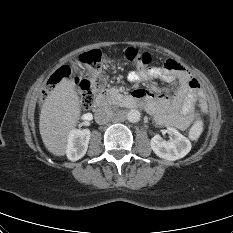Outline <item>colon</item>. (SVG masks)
<instances>
[{
  "mask_svg": "<svg viewBox=\"0 0 233 233\" xmlns=\"http://www.w3.org/2000/svg\"><path fill=\"white\" fill-rule=\"evenodd\" d=\"M126 59L135 67L142 69L147 68L151 62V55L143 50L137 48H128L125 51ZM80 61L88 68L89 75L85 78H76L78 93L81 104L85 108H89L95 102L96 95L102 90L104 86V78L101 74V54L98 50H91L83 53L80 56ZM72 76V71L68 66L60 67L52 74L47 82L43 98L64 79H69ZM203 132L202 119H197L189 130V137L191 140H197Z\"/></svg>",
  "mask_w": 233,
  "mask_h": 233,
  "instance_id": "5ec220e1",
  "label": "colon"
}]
</instances>
